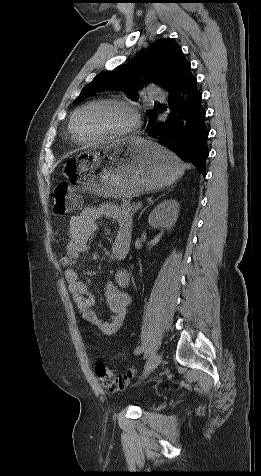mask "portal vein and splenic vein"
<instances>
[{"mask_svg": "<svg viewBox=\"0 0 261 476\" xmlns=\"http://www.w3.org/2000/svg\"><path fill=\"white\" fill-rule=\"evenodd\" d=\"M137 205H138L139 207H141V206H142V202H138Z\"/></svg>", "mask_w": 261, "mask_h": 476, "instance_id": "portal-vein-and-splenic-vein-1", "label": "portal vein and splenic vein"}]
</instances>
